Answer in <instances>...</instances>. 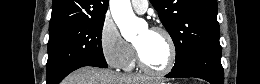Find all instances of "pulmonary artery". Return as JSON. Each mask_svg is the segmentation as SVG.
Listing matches in <instances>:
<instances>
[{
    "label": "pulmonary artery",
    "mask_w": 260,
    "mask_h": 84,
    "mask_svg": "<svg viewBox=\"0 0 260 84\" xmlns=\"http://www.w3.org/2000/svg\"><path fill=\"white\" fill-rule=\"evenodd\" d=\"M132 8L139 14H143L148 8V1H131Z\"/></svg>",
    "instance_id": "obj_1"
}]
</instances>
